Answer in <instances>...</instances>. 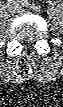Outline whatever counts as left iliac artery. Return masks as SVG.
Returning a JSON list of instances; mask_svg holds the SVG:
<instances>
[{
	"label": "left iliac artery",
	"instance_id": "1",
	"mask_svg": "<svg viewBox=\"0 0 63 107\" xmlns=\"http://www.w3.org/2000/svg\"><path fill=\"white\" fill-rule=\"evenodd\" d=\"M16 3L21 4L23 6H26V7L30 8V9L35 10V11H40L41 10V7L39 5L31 3L28 0L17 1Z\"/></svg>",
	"mask_w": 63,
	"mask_h": 107
}]
</instances>
